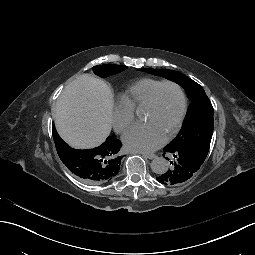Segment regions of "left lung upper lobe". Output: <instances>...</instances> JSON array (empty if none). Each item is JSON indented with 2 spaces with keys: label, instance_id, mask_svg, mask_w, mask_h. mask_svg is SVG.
Masks as SVG:
<instances>
[{
  "label": "left lung upper lobe",
  "instance_id": "5c2ea615",
  "mask_svg": "<svg viewBox=\"0 0 255 255\" xmlns=\"http://www.w3.org/2000/svg\"><path fill=\"white\" fill-rule=\"evenodd\" d=\"M141 70L172 80L185 89L192 103L184 127L177 133L176 138L170 141L169 146L173 150H184L194 154L196 164L204 165L214 129V110L204 89L178 71L151 68Z\"/></svg>",
  "mask_w": 255,
  "mask_h": 255
}]
</instances>
